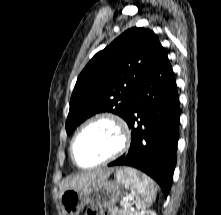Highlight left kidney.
<instances>
[{
  "label": "left kidney",
  "mask_w": 221,
  "mask_h": 215,
  "mask_svg": "<svg viewBox=\"0 0 221 215\" xmlns=\"http://www.w3.org/2000/svg\"><path fill=\"white\" fill-rule=\"evenodd\" d=\"M135 215H157V214L152 210H143L141 212L136 213Z\"/></svg>",
  "instance_id": "1"
}]
</instances>
